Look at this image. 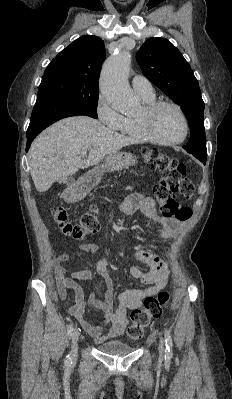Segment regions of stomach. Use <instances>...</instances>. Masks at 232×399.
I'll list each match as a JSON object with an SVG mask.
<instances>
[{"instance_id": "1", "label": "stomach", "mask_w": 232, "mask_h": 399, "mask_svg": "<svg viewBox=\"0 0 232 399\" xmlns=\"http://www.w3.org/2000/svg\"><path fill=\"white\" fill-rule=\"evenodd\" d=\"M138 160L136 156L133 154H128V152H116V154H110L105 158L103 164H101L100 168H95V170H90L87 172L84 178V188L85 192H90L94 186L100 184L102 180V176L104 172H119V170H125V168H129V166H135ZM80 198H83V190H78L77 192Z\"/></svg>"}]
</instances>
